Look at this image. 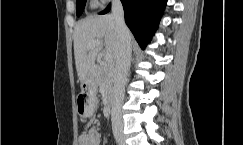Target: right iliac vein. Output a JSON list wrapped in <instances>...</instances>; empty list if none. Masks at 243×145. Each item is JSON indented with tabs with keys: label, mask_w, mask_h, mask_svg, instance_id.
Here are the masks:
<instances>
[{
	"label": "right iliac vein",
	"mask_w": 243,
	"mask_h": 145,
	"mask_svg": "<svg viewBox=\"0 0 243 145\" xmlns=\"http://www.w3.org/2000/svg\"><path fill=\"white\" fill-rule=\"evenodd\" d=\"M116 141L119 143V145H126L125 144V137L122 134H117L115 136Z\"/></svg>",
	"instance_id": "63e3f726"
}]
</instances>
